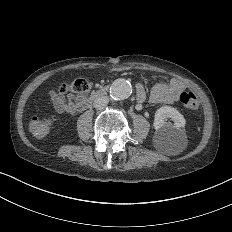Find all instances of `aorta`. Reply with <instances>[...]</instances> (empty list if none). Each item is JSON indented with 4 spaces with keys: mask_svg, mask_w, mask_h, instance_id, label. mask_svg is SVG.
Here are the masks:
<instances>
[{
    "mask_svg": "<svg viewBox=\"0 0 232 232\" xmlns=\"http://www.w3.org/2000/svg\"><path fill=\"white\" fill-rule=\"evenodd\" d=\"M132 93L131 84L124 79L115 80L110 88V96L115 100L128 98Z\"/></svg>",
    "mask_w": 232,
    "mask_h": 232,
    "instance_id": "obj_1",
    "label": "aorta"
}]
</instances>
